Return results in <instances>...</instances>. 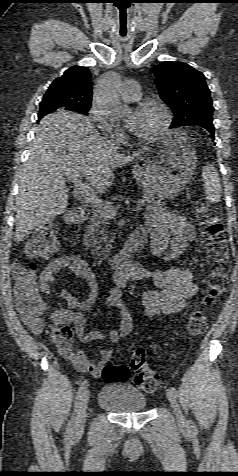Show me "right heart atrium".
<instances>
[{
	"mask_svg": "<svg viewBox=\"0 0 238 476\" xmlns=\"http://www.w3.org/2000/svg\"><path fill=\"white\" fill-rule=\"evenodd\" d=\"M91 122L101 131V133L111 139H121L123 137L122 129L116 124L109 121L104 113L95 105L89 110Z\"/></svg>",
	"mask_w": 238,
	"mask_h": 476,
	"instance_id": "d8ad5b80",
	"label": "right heart atrium"
}]
</instances>
